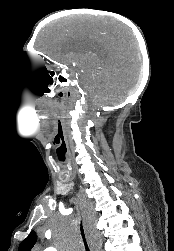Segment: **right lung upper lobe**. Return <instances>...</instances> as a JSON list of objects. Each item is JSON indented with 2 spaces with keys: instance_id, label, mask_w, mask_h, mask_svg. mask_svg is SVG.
<instances>
[{
  "instance_id": "obj_1",
  "label": "right lung upper lobe",
  "mask_w": 174,
  "mask_h": 251,
  "mask_svg": "<svg viewBox=\"0 0 174 251\" xmlns=\"http://www.w3.org/2000/svg\"><path fill=\"white\" fill-rule=\"evenodd\" d=\"M36 242V233L31 231L28 237L19 246V251H31Z\"/></svg>"
}]
</instances>
